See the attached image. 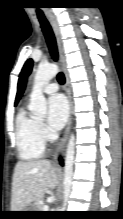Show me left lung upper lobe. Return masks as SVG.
Here are the masks:
<instances>
[{
  "label": "left lung upper lobe",
  "instance_id": "obj_1",
  "mask_svg": "<svg viewBox=\"0 0 123 219\" xmlns=\"http://www.w3.org/2000/svg\"><path fill=\"white\" fill-rule=\"evenodd\" d=\"M32 66H33L32 59L27 60L19 76V82H18L19 86L22 80L31 73Z\"/></svg>",
  "mask_w": 123,
  "mask_h": 219
}]
</instances>
